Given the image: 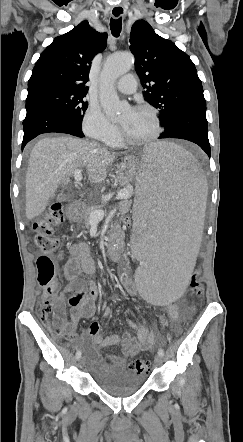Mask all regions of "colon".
<instances>
[{"mask_svg":"<svg viewBox=\"0 0 243 442\" xmlns=\"http://www.w3.org/2000/svg\"><path fill=\"white\" fill-rule=\"evenodd\" d=\"M120 221L126 230L131 229L133 219L130 213H121ZM65 215L61 204H52L44 219L35 222L33 226L34 242L38 249L45 255L55 253L60 246L59 240L54 236L53 227L64 222ZM38 283L43 288V298L41 302V320L51 325L55 333L59 336L68 337V322L64 312L55 311L56 295L58 286L56 282V271L53 261L48 256L38 258ZM203 265L198 263L189 280V288L194 299L203 297V284L200 279L203 272ZM131 370L138 374H147L151 370V363L141 357H134L130 366Z\"/></svg>","mask_w":243,"mask_h":442,"instance_id":"colon-1","label":"colon"}]
</instances>
